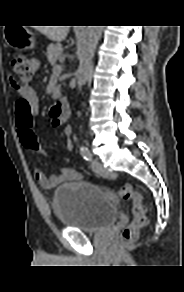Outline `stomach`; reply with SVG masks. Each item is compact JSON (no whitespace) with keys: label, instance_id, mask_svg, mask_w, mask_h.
Here are the masks:
<instances>
[{"label":"stomach","instance_id":"obj_1","mask_svg":"<svg viewBox=\"0 0 184 292\" xmlns=\"http://www.w3.org/2000/svg\"><path fill=\"white\" fill-rule=\"evenodd\" d=\"M4 37L7 44L16 50H28L35 47L31 31L23 26L6 27Z\"/></svg>","mask_w":184,"mask_h":292}]
</instances>
